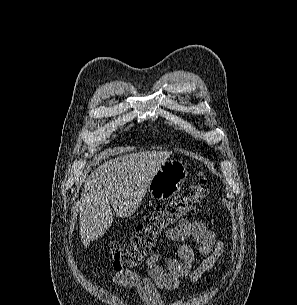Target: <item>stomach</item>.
<instances>
[{
    "label": "stomach",
    "mask_w": 297,
    "mask_h": 305,
    "mask_svg": "<svg viewBox=\"0 0 297 305\" xmlns=\"http://www.w3.org/2000/svg\"><path fill=\"white\" fill-rule=\"evenodd\" d=\"M187 177V168L182 161L167 160L151 179L147 190L152 199L169 200L181 189Z\"/></svg>",
    "instance_id": "stomach-1"
}]
</instances>
